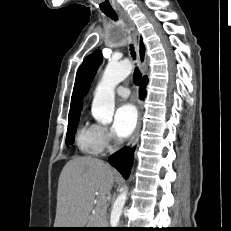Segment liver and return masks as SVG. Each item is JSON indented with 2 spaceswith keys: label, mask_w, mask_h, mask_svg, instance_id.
Returning a JSON list of instances; mask_svg holds the SVG:
<instances>
[{
  "label": "liver",
  "mask_w": 231,
  "mask_h": 231,
  "mask_svg": "<svg viewBox=\"0 0 231 231\" xmlns=\"http://www.w3.org/2000/svg\"><path fill=\"white\" fill-rule=\"evenodd\" d=\"M116 177L117 172L100 159L78 156L68 161L58 181L55 228L86 226L95 194L106 199Z\"/></svg>",
  "instance_id": "obj_1"
}]
</instances>
